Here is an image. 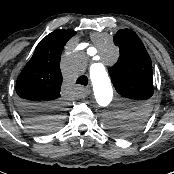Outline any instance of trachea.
<instances>
[{
	"label": "trachea",
	"mask_w": 174,
	"mask_h": 174,
	"mask_svg": "<svg viewBox=\"0 0 174 174\" xmlns=\"http://www.w3.org/2000/svg\"><path fill=\"white\" fill-rule=\"evenodd\" d=\"M77 84H81V85H84V86H87L88 84V78L86 76H80L77 81H76Z\"/></svg>",
	"instance_id": "1"
}]
</instances>
